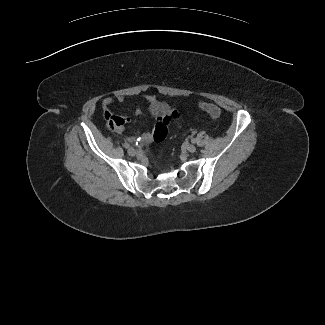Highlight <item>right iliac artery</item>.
Segmentation results:
<instances>
[{"label":"right iliac artery","mask_w":325,"mask_h":325,"mask_svg":"<svg viewBox=\"0 0 325 325\" xmlns=\"http://www.w3.org/2000/svg\"><path fill=\"white\" fill-rule=\"evenodd\" d=\"M123 146H124L125 148H128V147H129V144H128L127 142H125V143L123 144Z\"/></svg>","instance_id":"1"}]
</instances>
